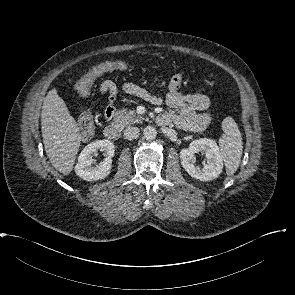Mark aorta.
Wrapping results in <instances>:
<instances>
[{"label":"aorta","instance_id":"762f6f07","mask_svg":"<svg viewBox=\"0 0 295 295\" xmlns=\"http://www.w3.org/2000/svg\"><path fill=\"white\" fill-rule=\"evenodd\" d=\"M143 134L147 140H153L157 136V130L153 126H147L144 128Z\"/></svg>","mask_w":295,"mask_h":295}]
</instances>
